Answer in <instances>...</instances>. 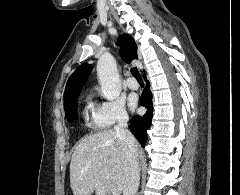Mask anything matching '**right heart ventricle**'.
Here are the masks:
<instances>
[{
    "label": "right heart ventricle",
    "instance_id": "e07e8e85",
    "mask_svg": "<svg viewBox=\"0 0 240 195\" xmlns=\"http://www.w3.org/2000/svg\"><path fill=\"white\" fill-rule=\"evenodd\" d=\"M91 110H92V104L89 102L83 111V116L86 119V125L88 127H93L97 130H101L102 128L105 127V125L103 123H101L99 120H97V118L95 117V114H94L95 109L93 110V121L92 122L89 121V112Z\"/></svg>",
    "mask_w": 240,
    "mask_h": 195
}]
</instances>
